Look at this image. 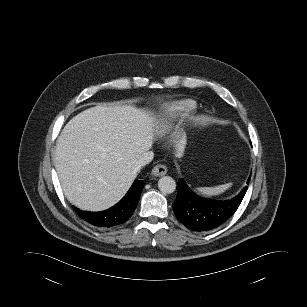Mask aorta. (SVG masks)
Returning <instances> with one entry per match:
<instances>
[{"label": "aorta", "instance_id": "obj_1", "mask_svg": "<svg viewBox=\"0 0 307 307\" xmlns=\"http://www.w3.org/2000/svg\"><path fill=\"white\" fill-rule=\"evenodd\" d=\"M158 188L164 194L173 193L176 189V182L170 176H163L158 181Z\"/></svg>", "mask_w": 307, "mask_h": 307}]
</instances>
